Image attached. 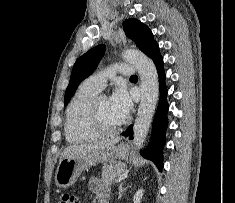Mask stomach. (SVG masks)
Returning <instances> with one entry per match:
<instances>
[{"mask_svg": "<svg viewBox=\"0 0 235 203\" xmlns=\"http://www.w3.org/2000/svg\"><path fill=\"white\" fill-rule=\"evenodd\" d=\"M129 152L130 147L125 143H121L100 152L67 156L59 162L55 174V182L60 188H68L77 181L82 171L87 170L96 162L123 160L128 157Z\"/></svg>", "mask_w": 235, "mask_h": 203, "instance_id": "stomach-1", "label": "stomach"}]
</instances>
